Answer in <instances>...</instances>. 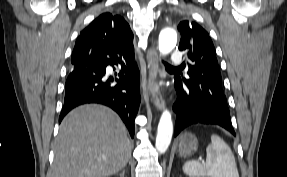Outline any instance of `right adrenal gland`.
<instances>
[{
    "instance_id": "1",
    "label": "right adrenal gland",
    "mask_w": 287,
    "mask_h": 177,
    "mask_svg": "<svg viewBox=\"0 0 287 177\" xmlns=\"http://www.w3.org/2000/svg\"><path fill=\"white\" fill-rule=\"evenodd\" d=\"M125 174V169L122 170V172L120 173V177H124Z\"/></svg>"
}]
</instances>
